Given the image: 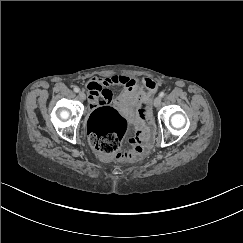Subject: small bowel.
<instances>
[{
  "instance_id": "obj_1",
  "label": "small bowel",
  "mask_w": 243,
  "mask_h": 243,
  "mask_svg": "<svg viewBox=\"0 0 243 243\" xmlns=\"http://www.w3.org/2000/svg\"><path fill=\"white\" fill-rule=\"evenodd\" d=\"M111 86L121 89L116 97H113ZM86 89L91 109L111 104L134 121V110L138 102L140 99H149L156 92L157 85L150 78L143 79L139 85L135 79L128 76L114 75L107 78H92L86 83Z\"/></svg>"
}]
</instances>
